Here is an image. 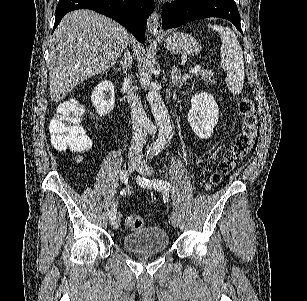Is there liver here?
<instances>
[{"instance_id": "6515ba94", "label": "liver", "mask_w": 307, "mask_h": 301, "mask_svg": "<svg viewBox=\"0 0 307 301\" xmlns=\"http://www.w3.org/2000/svg\"><path fill=\"white\" fill-rule=\"evenodd\" d=\"M129 38L124 26L94 10L80 8L65 14L49 44L51 100L60 102L79 82L106 72Z\"/></svg>"}]
</instances>
